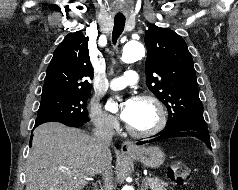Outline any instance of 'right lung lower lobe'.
Listing matches in <instances>:
<instances>
[{"label":"right lung lower lobe","instance_id":"right-lung-lower-lobe-1","mask_svg":"<svg viewBox=\"0 0 238 190\" xmlns=\"http://www.w3.org/2000/svg\"><path fill=\"white\" fill-rule=\"evenodd\" d=\"M86 122H65L63 124L70 126V127H81L85 124ZM38 125H35L34 128H36ZM31 146V142H30ZM117 146V145H116Z\"/></svg>","mask_w":238,"mask_h":190}]
</instances>
